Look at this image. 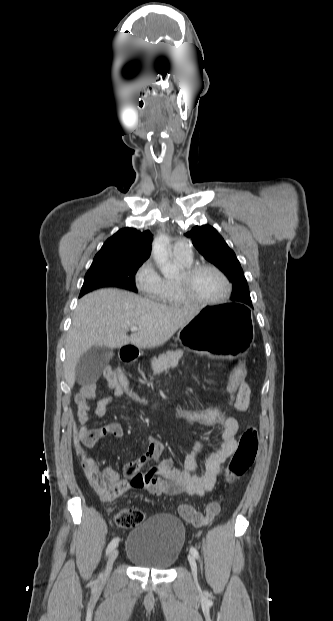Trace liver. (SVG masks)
Instances as JSON below:
<instances>
[{"mask_svg":"<svg viewBox=\"0 0 333 621\" xmlns=\"http://www.w3.org/2000/svg\"><path fill=\"white\" fill-rule=\"evenodd\" d=\"M197 312L157 304L132 292L101 289L78 302L66 338L65 380L75 384V369L81 356L92 347L120 348L129 343L139 348H155L190 322ZM140 330L130 336V327Z\"/></svg>","mask_w":333,"mask_h":621,"instance_id":"obj_1","label":"liver"}]
</instances>
